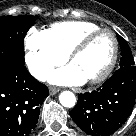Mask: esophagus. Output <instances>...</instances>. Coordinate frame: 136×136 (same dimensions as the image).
<instances>
[{
  "instance_id": "obj_1",
  "label": "esophagus",
  "mask_w": 136,
  "mask_h": 136,
  "mask_svg": "<svg viewBox=\"0 0 136 136\" xmlns=\"http://www.w3.org/2000/svg\"><path fill=\"white\" fill-rule=\"evenodd\" d=\"M57 92H59L58 88H56V87H50L49 88L50 95H55Z\"/></svg>"
}]
</instances>
